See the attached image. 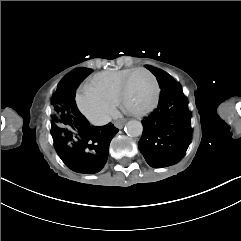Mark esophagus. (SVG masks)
I'll use <instances>...</instances> for the list:
<instances>
[{"instance_id": "esophagus-1", "label": "esophagus", "mask_w": 241, "mask_h": 241, "mask_svg": "<svg viewBox=\"0 0 241 241\" xmlns=\"http://www.w3.org/2000/svg\"><path fill=\"white\" fill-rule=\"evenodd\" d=\"M125 121H117L114 123L115 127L118 129H122L124 127Z\"/></svg>"}]
</instances>
